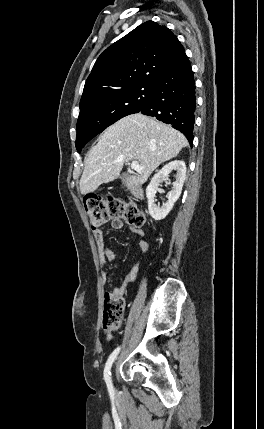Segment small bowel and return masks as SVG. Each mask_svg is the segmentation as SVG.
<instances>
[{
    "instance_id": "1",
    "label": "small bowel",
    "mask_w": 264,
    "mask_h": 429,
    "mask_svg": "<svg viewBox=\"0 0 264 429\" xmlns=\"http://www.w3.org/2000/svg\"><path fill=\"white\" fill-rule=\"evenodd\" d=\"M111 226L115 230H120L123 228L124 224L122 220L120 219H114L111 222ZM136 233L141 235V238L139 239V249L141 253V257L147 252L148 250V243L147 241L142 237V232L138 230H134ZM95 239L99 251V261L101 266H104L106 262H113L115 260V253L114 251L109 248L104 241V237L102 232L95 234ZM139 269V262H137L135 265H133L131 268H129L122 276L121 284L115 288L114 293L117 294H123L127 285L134 281ZM103 278L106 280V274L103 273Z\"/></svg>"
}]
</instances>
